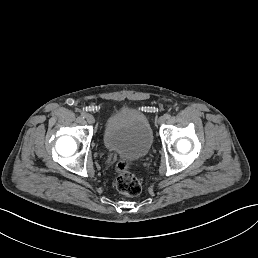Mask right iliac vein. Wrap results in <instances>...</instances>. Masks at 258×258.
I'll return each instance as SVG.
<instances>
[{"label":"right iliac vein","instance_id":"obj_1","mask_svg":"<svg viewBox=\"0 0 258 258\" xmlns=\"http://www.w3.org/2000/svg\"><path fill=\"white\" fill-rule=\"evenodd\" d=\"M86 121L88 122V124H95V117L92 114H89L86 116Z\"/></svg>","mask_w":258,"mask_h":258}]
</instances>
